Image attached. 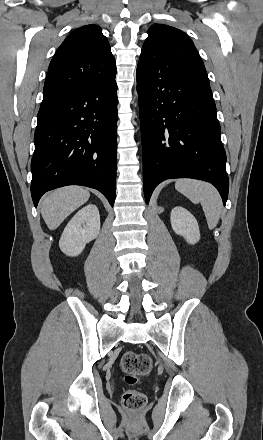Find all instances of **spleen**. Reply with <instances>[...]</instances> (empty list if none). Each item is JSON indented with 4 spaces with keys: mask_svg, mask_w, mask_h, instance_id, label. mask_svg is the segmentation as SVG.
<instances>
[{
    "mask_svg": "<svg viewBox=\"0 0 263 440\" xmlns=\"http://www.w3.org/2000/svg\"><path fill=\"white\" fill-rule=\"evenodd\" d=\"M175 189L191 202L201 203L209 229L216 227L222 212V200L213 185L196 179L181 178L175 181Z\"/></svg>",
    "mask_w": 263,
    "mask_h": 440,
    "instance_id": "3e777b00",
    "label": "spleen"
}]
</instances>
